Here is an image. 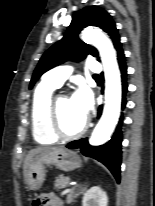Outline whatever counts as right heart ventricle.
<instances>
[{
    "label": "right heart ventricle",
    "instance_id": "e07e8e85",
    "mask_svg": "<svg viewBox=\"0 0 155 206\" xmlns=\"http://www.w3.org/2000/svg\"><path fill=\"white\" fill-rule=\"evenodd\" d=\"M56 86L42 81L36 88L31 103V127L35 141L41 145L55 143L57 137L49 127L48 111Z\"/></svg>",
    "mask_w": 155,
    "mask_h": 206
}]
</instances>
